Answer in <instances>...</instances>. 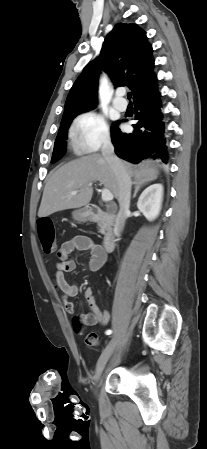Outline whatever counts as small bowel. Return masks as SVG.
Returning a JSON list of instances; mask_svg holds the SVG:
<instances>
[{"label": "small bowel", "instance_id": "1", "mask_svg": "<svg viewBox=\"0 0 207 449\" xmlns=\"http://www.w3.org/2000/svg\"><path fill=\"white\" fill-rule=\"evenodd\" d=\"M75 250L90 253L88 267L93 272L100 270L108 258L106 251L87 236H76L61 245L58 252L60 261L56 263L55 285L61 291L65 309L70 314L75 312L76 307L73 302L68 301V298L75 297L79 290L76 283H69L67 279V274L76 268V262L71 257ZM84 297L91 309L89 314L83 316L85 322L90 325L107 324L109 313L98 306L91 288L85 290Z\"/></svg>", "mask_w": 207, "mask_h": 449}]
</instances>
